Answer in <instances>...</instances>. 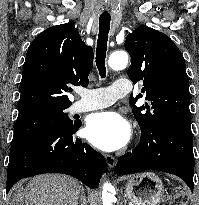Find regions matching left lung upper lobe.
I'll return each mask as SVG.
<instances>
[{
	"mask_svg": "<svg viewBox=\"0 0 199 205\" xmlns=\"http://www.w3.org/2000/svg\"><path fill=\"white\" fill-rule=\"evenodd\" d=\"M124 45L132 60L129 78L134 83L143 80L141 92L130 100L141 133L158 131L170 121L191 123L189 79L175 43L164 33L143 25L128 34ZM143 95L147 102L136 107Z\"/></svg>",
	"mask_w": 199,
	"mask_h": 205,
	"instance_id": "obj_1",
	"label": "left lung upper lobe"
}]
</instances>
